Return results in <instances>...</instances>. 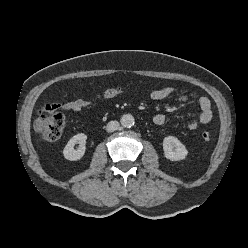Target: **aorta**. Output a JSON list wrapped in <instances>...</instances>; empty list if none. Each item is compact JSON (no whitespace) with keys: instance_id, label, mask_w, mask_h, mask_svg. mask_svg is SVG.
Wrapping results in <instances>:
<instances>
[{"instance_id":"1","label":"aorta","mask_w":248,"mask_h":248,"mask_svg":"<svg viewBox=\"0 0 248 248\" xmlns=\"http://www.w3.org/2000/svg\"><path fill=\"white\" fill-rule=\"evenodd\" d=\"M120 123L124 128H131L135 123V119L131 114H124L120 119Z\"/></svg>"}]
</instances>
